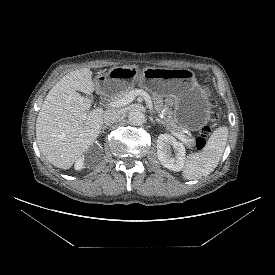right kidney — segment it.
<instances>
[{
  "instance_id": "ca27d5eb",
  "label": "right kidney",
  "mask_w": 275,
  "mask_h": 275,
  "mask_svg": "<svg viewBox=\"0 0 275 275\" xmlns=\"http://www.w3.org/2000/svg\"><path fill=\"white\" fill-rule=\"evenodd\" d=\"M84 167H85V166H84L83 159H82V158H78V159L75 161V165H74L75 170H81V169H83Z\"/></svg>"
}]
</instances>
